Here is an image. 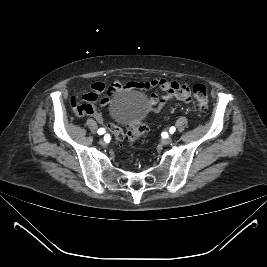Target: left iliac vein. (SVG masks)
<instances>
[{
  "mask_svg": "<svg viewBox=\"0 0 267 267\" xmlns=\"http://www.w3.org/2000/svg\"><path fill=\"white\" fill-rule=\"evenodd\" d=\"M172 143V138L171 137H167L162 141L163 145H169Z\"/></svg>",
  "mask_w": 267,
  "mask_h": 267,
  "instance_id": "1",
  "label": "left iliac vein"
}]
</instances>
